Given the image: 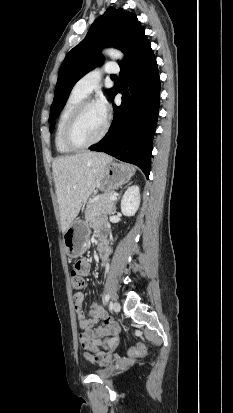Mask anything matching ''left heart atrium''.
<instances>
[{
	"label": "left heart atrium",
	"mask_w": 233,
	"mask_h": 413,
	"mask_svg": "<svg viewBox=\"0 0 233 413\" xmlns=\"http://www.w3.org/2000/svg\"><path fill=\"white\" fill-rule=\"evenodd\" d=\"M96 105L101 111V113L104 115V117H107L110 111V106L106 98L100 97L98 101L96 102Z\"/></svg>",
	"instance_id": "obj_1"
}]
</instances>
